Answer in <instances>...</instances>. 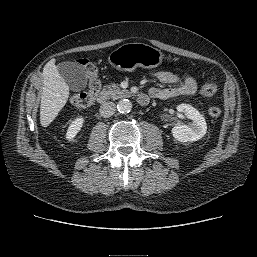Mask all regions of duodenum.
Returning a JSON list of instances; mask_svg holds the SVG:
<instances>
[{"label": "duodenum", "instance_id": "1", "mask_svg": "<svg viewBox=\"0 0 257 257\" xmlns=\"http://www.w3.org/2000/svg\"><path fill=\"white\" fill-rule=\"evenodd\" d=\"M107 101V94L105 92H102L97 97V102L99 104H104ZM137 101L140 105L144 106L147 105L149 102V97L147 94L139 93L137 95Z\"/></svg>", "mask_w": 257, "mask_h": 257}]
</instances>
